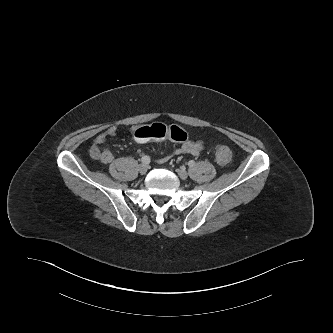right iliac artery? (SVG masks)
I'll use <instances>...</instances> for the list:
<instances>
[{
    "mask_svg": "<svg viewBox=\"0 0 333 333\" xmlns=\"http://www.w3.org/2000/svg\"><path fill=\"white\" fill-rule=\"evenodd\" d=\"M142 163L149 164L150 163V157L149 156H143L141 158Z\"/></svg>",
    "mask_w": 333,
    "mask_h": 333,
    "instance_id": "right-iliac-artery-1",
    "label": "right iliac artery"
}]
</instances>
